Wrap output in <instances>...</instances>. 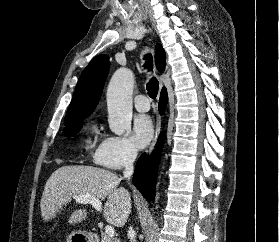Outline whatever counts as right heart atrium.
I'll return each mask as SVG.
<instances>
[{
    "label": "right heart atrium",
    "mask_w": 279,
    "mask_h": 242,
    "mask_svg": "<svg viewBox=\"0 0 279 242\" xmlns=\"http://www.w3.org/2000/svg\"><path fill=\"white\" fill-rule=\"evenodd\" d=\"M137 149L126 136L107 135L93 153L96 164L108 169H120L133 163Z\"/></svg>",
    "instance_id": "right-heart-atrium-1"
}]
</instances>
